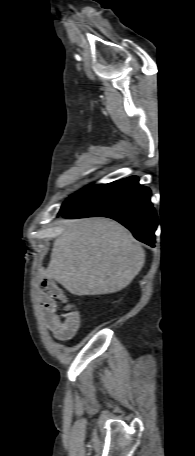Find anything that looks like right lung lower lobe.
Instances as JSON below:
<instances>
[{"label":"right lung lower lobe","mask_w":195,"mask_h":456,"mask_svg":"<svg viewBox=\"0 0 195 456\" xmlns=\"http://www.w3.org/2000/svg\"><path fill=\"white\" fill-rule=\"evenodd\" d=\"M150 195V189L131 176L108 184L87 201L59 214L68 218H112L127 227L136 239L154 247L158 219Z\"/></svg>","instance_id":"1"}]
</instances>
